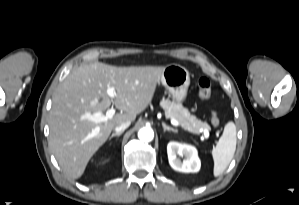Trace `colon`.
Instances as JSON below:
<instances>
[{"label":"colon","instance_id":"1","mask_svg":"<svg viewBox=\"0 0 299 205\" xmlns=\"http://www.w3.org/2000/svg\"><path fill=\"white\" fill-rule=\"evenodd\" d=\"M199 95L203 99H209L212 96V85L211 81L207 77H200L197 81ZM211 123L214 127L219 125V117L217 113H212Z\"/></svg>","mask_w":299,"mask_h":205}]
</instances>
